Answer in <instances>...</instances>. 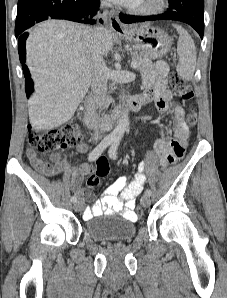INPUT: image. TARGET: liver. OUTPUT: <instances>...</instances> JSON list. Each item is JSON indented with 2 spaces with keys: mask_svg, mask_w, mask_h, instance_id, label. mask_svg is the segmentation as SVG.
<instances>
[{
  "mask_svg": "<svg viewBox=\"0 0 227 298\" xmlns=\"http://www.w3.org/2000/svg\"><path fill=\"white\" fill-rule=\"evenodd\" d=\"M148 25V24H146ZM88 27L66 20L38 24L26 42V64L34 81L30 118L36 131L69 121L92 81L87 52ZM102 54L113 46L111 32L96 28Z\"/></svg>",
  "mask_w": 227,
  "mask_h": 298,
  "instance_id": "liver-1",
  "label": "liver"
}]
</instances>
